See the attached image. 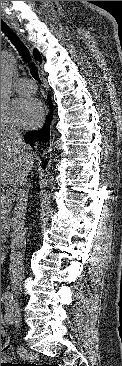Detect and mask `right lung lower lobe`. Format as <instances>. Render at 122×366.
<instances>
[{"instance_id": "right-lung-lower-lobe-1", "label": "right lung lower lobe", "mask_w": 122, "mask_h": 366, "mask_svg": "<svg viewBox=\"0 0 122 366\" xmlns=\"http://www.w3.org/2000/svg\"><path fill=\"white\" fill-rule=\"evenodd\" d=\"M49 98H50V96H49ZM50 107H51V112H50L49 116L46 118L44 126L38 131L27 132L26 135H25V141L30 143L31 140H39V141H42V142H48L49 143L50 124H51V121L53 119V115H52L53 106L51 105ZM46 164H47V161L44 162V165H42V168H45Z\"/></svg>"}]
</instances>
